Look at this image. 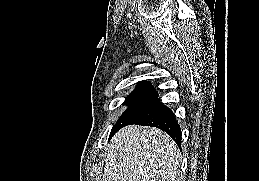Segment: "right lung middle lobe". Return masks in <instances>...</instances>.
Returning a JSON list of instances; mask_svg holds the SVG:
<instances>
[{
    "instance_id": "obj_1",
    "label": "right lung middle lobe",
    "mask_w": 259,
    "mask_h": 181,
    "mask_svg": "<svg viewBox=\"0 0 259 181\" xmlns=\"http://www.w3.org/2000/svg\"><path fill=\"white\" fill-rule=\"evenodd\" d=\"M157 96L153 86H137L126 97L123 104L127 105L128 108L113 126L110 135L135 120Z\"/></svg>"
}]
</instances>
